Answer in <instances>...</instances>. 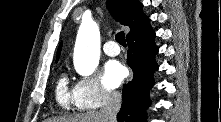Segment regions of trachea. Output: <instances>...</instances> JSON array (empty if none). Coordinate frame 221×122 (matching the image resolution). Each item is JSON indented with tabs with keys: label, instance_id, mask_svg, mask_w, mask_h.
Listing matches in <instances>:
<instances>
[{
	"label": "trachea",
	"instance_id": "obj_1",
	"mask_svg": "<svg viewBox=\"0 0 221 122\" xmlns=\"http://www.w3.org/2000/svg\"><path fill=\"white\" fill-rule=\"evenodd\" d=\"M115 39L120 45L126 46L125 34L123 31L117 33Z\"/></svg>",
	"mask_w": 221,
	"mask_h": 122
}]
</instances>
